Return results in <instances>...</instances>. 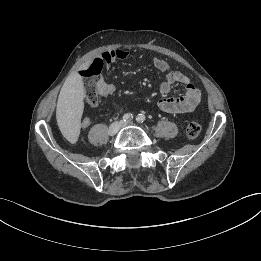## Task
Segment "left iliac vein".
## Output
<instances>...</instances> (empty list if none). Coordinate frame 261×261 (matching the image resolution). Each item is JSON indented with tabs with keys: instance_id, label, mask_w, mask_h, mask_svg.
<instances>
[{
	"instance_id": "1",
	"label": "left iliac vein",
	"mask_w": 261,
	"mask_h": 261,
	"mask_svg": "<svg viewBox=\"0 0 261 261\" xmlns=\"http://www.w3.org/2000/svg\"><path fill=\"white\" fill-rule=\"evenodd\" d=\"M132 125H134V124L131 123V122H125V123L122 124L121 127H127V126H132Z\"/></svg>"
}]
</instances>
